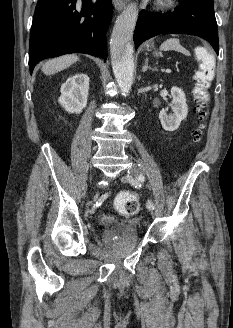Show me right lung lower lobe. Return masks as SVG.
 Masks as SVG:
<instances>
[{
  "instance_id": "right-lung-lower-lobe-1",
  "label": "right lung lower lobe",
  "mask_w": 233,
  "mask_h": 328,
  "mask_svg": "<svg viewBox=\"0 0 233 328\" xmlns=\"http://www.w3.org/2000/svg\"><path fill=\"white\" fill-rule=\"evenodd\" d=\"M111 13V0H39L30 34V73L39 61L67 53L106 60Z\"/></svg>"
}]
</instances>
